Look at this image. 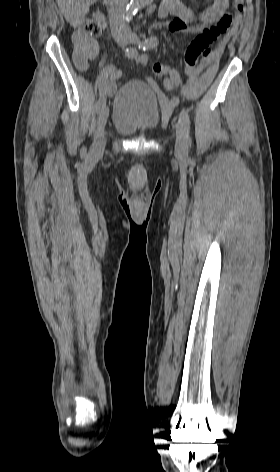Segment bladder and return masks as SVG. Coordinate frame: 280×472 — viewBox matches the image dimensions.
<instances>
[{
	"mask_svg": "<svg viewBox=\"0 0 280 472\" xmlns=\"http://www.w3.org/2000/svg\"><path fill=\"white\" fill-rule=\"evenodd\" d=\"M161 123V109L152 88L141 81L125 83L115 94L112 124L124 135L156 130Z\"/></svg>",
	"mask_w": 280,
	"mask_h": 472,
	"instance_id": "bladder-1",
	"label": "bladder"
}]
</instances>
